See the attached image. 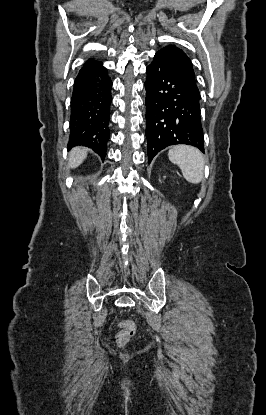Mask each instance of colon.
Here are the masks:
<instances>
[{"label": "colon", "mask_w": 266, "mask_h": 415, "mask_svg": "<svg viewBox=\"0 0 266 415\" xmlns=\"http://www.w3.org/2000/svg\"><path fill=\"white\" fill-rule=\"evenodd\" d=\"M119 331L116 334V342L119 346H125L134 336L136 327L132 321L123 320L118 323Z\"/></svg>", "instance_id": "obj_1"}]
</instances>
